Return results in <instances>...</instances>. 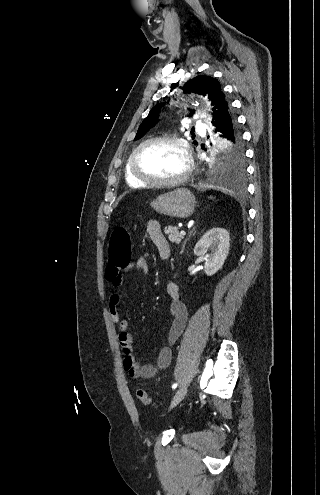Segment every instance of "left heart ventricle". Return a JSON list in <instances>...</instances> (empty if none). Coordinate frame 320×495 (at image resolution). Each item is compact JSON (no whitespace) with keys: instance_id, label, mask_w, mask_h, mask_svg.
I'll return each mask as SVG.
<instances>
[{"instance_id":"left-heart-ventricle-1","label":"left heart ventricle","mask_w":320,"mask_h":495,"mask_svg":"<svg viewBox=\"0 0 320 495\" xmlns=\"http://www.w3.org/2000/svg\"><path fill=\"white\" fill-rule=\"evenodd\" d=\"M139 171L154 179H173L185 167L181 150L169 142H156L144 147L137 158Z\"/></svg>"}]
</instances>
